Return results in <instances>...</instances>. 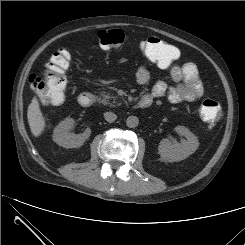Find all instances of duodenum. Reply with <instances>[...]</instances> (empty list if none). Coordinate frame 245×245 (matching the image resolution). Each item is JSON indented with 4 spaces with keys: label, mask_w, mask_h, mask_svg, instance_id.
Here are the masks:
<instances>
[{
    "label": "duodenum",
    "mask_w": 245,
    "mask_h": 245,
    "mask_svg": "<svg viewBox=\"0 0 245 245\" xmlns=\"http://www.w3.org/2000/svg\"><path fill=\"white\" fill-rule=\"evenodd\" d=\"M96 100V97L93 93L91 92H84L82 93L80 96H79V104L82 106V107H89L91 105L94 104ZM152 103V100L151 98L149 97H143L140 99V101L138 102V107L141 108V109H145L147 107H149Z\"/></svg>",
    "instance_id": "1"
}]
</instances>
